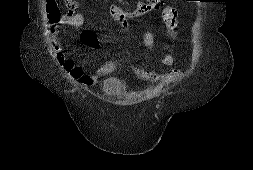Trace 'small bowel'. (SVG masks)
<instances>
[{
  "instance_id": "1",
  "label": "small bowel",
  "mask_w": 253,
  "mask_h": 170,
  "mask_svg": "<svg viewBox=\"0 0 253 170\" xmlns=\"http://www.w3.org/2000/svg\"><path fill=\"white\" fill-rule=\"evenodd\" d=\"M156 10L161 11L164 24L172 32H174L177 26L175 23L177 19L175 22H171V18L173 14H177V12L174 8L165 5L164 0H144L139 2L135 8L130 11H126L117 5H112L110 7V15L111 18L118 22L123 29L127 30L130 27L129 19L131 17L144 16ZM85 22L86 18L82 14L65 15L57 23L51 26L50 36L53 40V46L57 53L58 61L63 70L80 85L89 87L96 84L102 76L111 73L116 68V63L114 61H108L97 68L94 73L87 74L84 67L77 65L66 55L65 52L62 51L58 40L60 35V27L68 25L75 29H81L85 25ZM79 37L81 42L89 47H95L97 44V39L91 31L83 30L80 32ZM154 43V33L152 31L146 32L142 37L141 45L144 48H150L154 45ZM161 61L165 66H172L174 64V58L169 53L164 54ZM133 71L135 75L142 80L163 84L174 82L182 77L181 70L177 68H172L166 73H157L154 71L145 70L139 66H134Z\"/></svg>"
}]
</instances>
